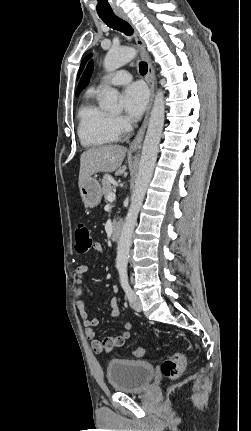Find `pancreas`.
<instances>
[{"label":"pancreas","instance_id":"1","mask_svg":"<svg viewBox=\"0 0 251 431\" xmlns=\"http://www.w3.org/2000/svg\"><path fill=\"white\" fill-rule=\"evenodd\" d=\"M112 182L113 178L109 175H105L102 179V194L106 201H108V195L113 192Z\"/></svg>","mask_w":251,"mask_h":431}]
</instances>
